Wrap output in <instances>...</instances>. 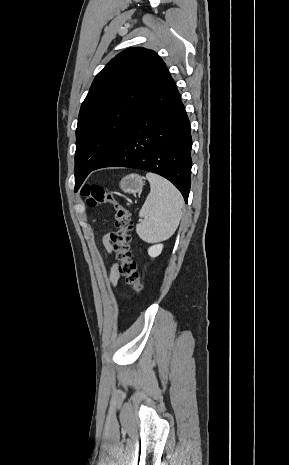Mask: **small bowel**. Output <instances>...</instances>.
Instances as JSON below:
<instances>
[{
	"label": "small bowel",
	"mask_w": 289,
	"mask_h": 465,
	"mask_svg": "<svg viewBox=\"0 0 289 465\" xmlns=\"http://www.w3.org/2000/svg\"><path fill=\"white\" fill-rule=\"evenodd\" d=\"M103 244L108 252H112V245L110 242V236L109 234H106L103 237ZM119 280V272L117 269V266H114L112 268L111 274H110V281L113 286H116Z\"/></svg>",
	"instance_id": "obj_1"
}]
</instances>
